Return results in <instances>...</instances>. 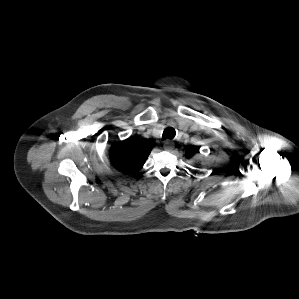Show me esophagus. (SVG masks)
Listing matches in <instances>:
<instances>
[{
    "label": "esophagus",
    "mask_w": 299,
    "mask_h": 299,
    "mask_svg": "<svg viewBox=\"0 0 299 299\" xmlns=\"http://www.w3.org/2000/svg\"><path fill=\"white\" fill-rule=\"evenodd\" d=\"M173 148V143L171 141H166L164 143V149L167 150V151H171Z\"/></svg>",
    "instance_id": "obj_1"
}]
</instances>
